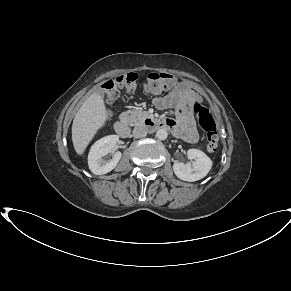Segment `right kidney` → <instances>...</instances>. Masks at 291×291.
Masks as SVG:
<instances>
[{
	"label": "right kidney",
	"mask_w": 291,
	"mask_h": 291,
	"mask_svg": "<svg viewBox=\"0 0 291 291\" xmlns=\"http://www.w3.org/2000/svg\"><path fill=\"white\" fill-rule=\"evenodd\" d=\"M119 137L117 135L106 136L98 140L90 149L88 155V165L92 173L95 175H103L112 171L121 159L122 153L114 151ZM112 153V159L104 158Z\"/></svg>",
	"instance_id": "right-kidney-1"
}]
</instances>
